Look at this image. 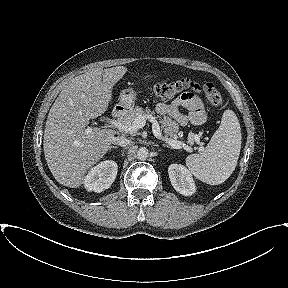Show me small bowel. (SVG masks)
I'll return each instance as SVG.
<instances>
[{"label":"small bowel","mask_w":288,"mask_h":288,"mask_svg":"<svg viewBox=\"0 0 288 288\" xmlns=\"http://www.w3.org/2000/svg\"><path fill=\"white\" fill-rule=\"evenodd\" d=\"M195 89L198 91V88ZM182 108L187 109L189 114L184 115L181 112ZM156 111L171 117L181 125H186L188 122L200 125L206 120L203 102L195 92H186L168 104L159 103Z\"/></svg>","instance_id":"c3829d8e"}]
</instances>
